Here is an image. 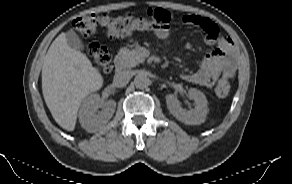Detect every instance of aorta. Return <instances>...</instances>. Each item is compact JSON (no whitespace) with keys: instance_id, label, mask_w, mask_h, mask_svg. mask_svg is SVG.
<instances>
[{"instance_id":"obj_1","label":"aorta","mask_w":292,"mask_h":184,"mask_svg":"<svg viewBox=\"0 0 292 184\" xmlns=\"http://www.w3.org/2000/svg\"><path fill=\"white\" fill-rule=\"evenodd\" d=\"M149 84L150 80L148 76L143 72L138 73L134 78V85L136 86V88L144 89L148 87Z\"/></svg>"}]
</instances>
